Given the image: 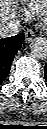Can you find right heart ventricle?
Returning a JSON list of instances; mask_svg holds the SVG:
<instances>
[{
    "label": "right heart ventricle",
    "instance_id": "right-heart-ventricle-1",
    "mask_svg": "<svg viewBox=\"0 0 47 129\" xmlns=\"http://www.w3.org/2000/svg\"><path fill=\"white\" fill-rule=\"evenodd\" d=\"M23 8L28 15L39 13L45 7L46 0H21Z\"/></svg>",
    "mask_w": 47,
    "mask_h": 129
}]
</instances>
